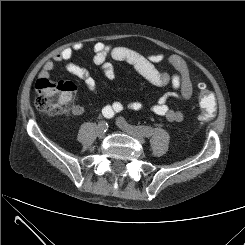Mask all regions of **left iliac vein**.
I'll return each mask as SVG.
<instances>
[{
	"mask_svg": "<svg viewBox=\"0 0 245 245\" xmlns=\"http://www.w3.org/2000/svg\"><path fill=\"white\" fill-rule=\"evenodd\" d=\"M118 127L120 129H122L125 133L131 135L132 137H134L135 139H137L140 143H145V139L143 137L142 134H140L139 132L135 131L134 129L130 128V127H126L121 123V117L117 119L116 121Z\"/></svg>",
	"mask_w": 245,
	"mask_h": 245,
	"instance_id": "1",
	"label": "left iliac vein"
}]
</instances>
